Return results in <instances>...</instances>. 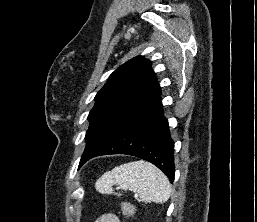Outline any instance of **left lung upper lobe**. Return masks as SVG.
<instances>
[{"label":"left lung upper lobe","mask_w":257,"mask_h":222,"mask_svg":"<svg viewBox=\"0 0 257 222\" xmlns=\"http://www.w3.org/2000/svg\"><path fill=\"white\" fill-rule=\"evenodd\" d=\"M160 95L161 88L149 60L137 56L117 68L95 96L80 163L98 152Z\"/></svg>","instance_id":"5c2ea615"}]
</instances>
